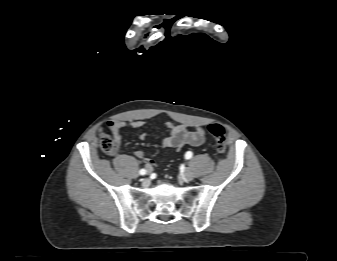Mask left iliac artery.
Here are the masks:
<instances>
[{
	"label": "left iliac artery",
	"mask_w": 337,
	"mask_h": 261,
	"mask_svg": "<svg viewBox=\"0 0 337 261\" xmlns=\"http://www.w3.org/2000/svg\"><path fill=\"white\" fill-rule=\"evenodd\" d=\"M193 153L191 151L186 152L185 158L190 159L192 157Z\"/></svg>",
	"instance_id": "44dca946"
}]
</instances>
